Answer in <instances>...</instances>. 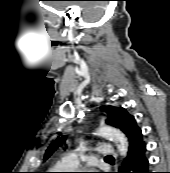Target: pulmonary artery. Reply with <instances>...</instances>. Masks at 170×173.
Listing matches in <instances>:
<instances>
[{"mask_svg":"<svg viewBox=\"0 0 170 173\" xmlns=\"http://www.w3.org/2000/svg\"><path fill=\"white\" fill-rule=\"evenodd\" d=\"M80 151V149L75 150L73 153H71L68 156V162H69V166L74 168L77 164H78V159H77V153ZM98 156H116V150L113 146L110 145H104V146H100L97 149V153Z\"/></svg>","mask_w":170,"mask_h":173,"instance_id":"obj_1","label":"pulmonary artery"}]
</instances>
